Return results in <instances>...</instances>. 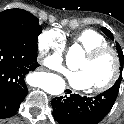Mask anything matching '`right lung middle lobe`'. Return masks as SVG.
<instances>
[{
    "label": "right lung middle lobe",
    "mask_w": 124,
    "mask_h": 124,
    "mask_svg": "<svg viewBox=\"0 0 124 124\" xmlns=\"http://www.w3.org/2000/svg\"><path fill=\"white\" fill-rule=\"evenodd\" d=\"M42 32L39 20L23 9H8L0 12V36L28 38L37 45Z\"/></svg>",
    "instance_id": "dd1d6c3e"
}]
</instances>
